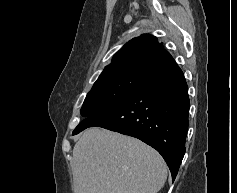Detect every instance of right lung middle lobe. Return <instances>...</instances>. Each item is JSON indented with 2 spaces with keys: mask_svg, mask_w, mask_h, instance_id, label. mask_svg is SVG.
Returning a JSON list of instances; mask_svg holds the SVG:
<instances>
[{
  "mask_svg": "<svg viewBox=\"0 0 237 193\" xmlns=\"http://www.w3.org/2000/svg\"><path fill=\"white\" fill-rule=\"evenodd\" d=\"M144 75L145 71H132L96 81L86 96L81 115L91 118L121 104L139 87Z\"/></svg>",
  "mask_w": 237,
  "mask_h": 193,
  "instance_id": "right-lung-middle-lobe-1",
  "label": "right lung middle lobe"
}]
</instances>
